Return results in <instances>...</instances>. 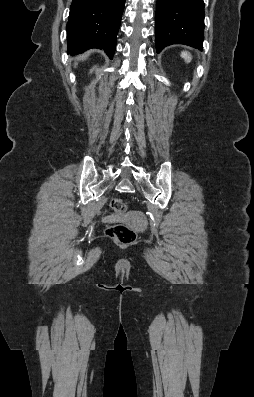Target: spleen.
Here are the masks:
<instances>
[{
	"label": "spleen",
	"instance_id": "spleen-1",
	"mask_svg": "<svg viewBox=\"0 0 254 397\" xmlns=\"http://www.w3.org/2000/svg\"><path fill=\"white\" fill-rule=\"evenodd\" d=\"M181 57H182L187 63H189V62L191 61V59H192L191 54L188 53L187 51H183V52L181 53Z\"/></svg>",
	"mask_w": 254,
	"mask_h": 397
}]
</instances>
